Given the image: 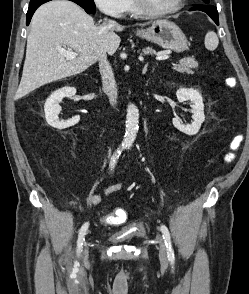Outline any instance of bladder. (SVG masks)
<instances>
[{
	"mask_svg": "<svg viewBox=\"0 0 249 294\" xmlns=\"http://www.w3.org/2000/svg\"><path fill=\"white\" fill-rule=\"evenodd\" d=\"M147 236L145 231L139 230L137 232L120 231L118 233L110 235V241L114 243H124L133 241L135 239H142Z\"/></svg>",
	"mask_w": 249,
	"mask_h": 294,
	"instance_id": "bladder-1",
	"label": "bladder"
}]
</instances>
